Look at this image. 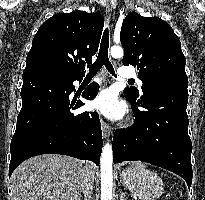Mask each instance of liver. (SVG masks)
Instances as JSON below:
<instances>
[{
  "instance_id": "6515ba94",
  "label": "liver",
  "mask_w": 205,
  "mask_h": 200,
  "mask_svg": "<svg viewBox=\"0 0 205 200\" xmlns=\"http://www.w3.org/2000/svg\"><path fill=\"white\" fill-rule=\"evenodd\" d=\"M81 169L82 161L73 157L44 154L29 158L11 176L12 200H80Z\"/></svg>"
}]
</instances>
